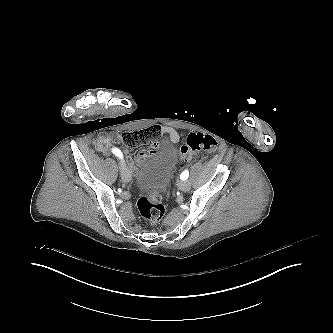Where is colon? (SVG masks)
I'll return each mask as SVG.
<instances>
[{
  "label": "colon",
  "instance_id": "1",
  "mask_svg": "<svg viewBox=\"0 0 333 333\" xmlns=\"http://www.w3.org/2000/svg\"><path fill=\"white\" fill-rule=\"evenodd\" d=\"M163 132L159 127H150L138 132H127L121 135V141L124 145L131 149L153 147L158 144L162 139ZM117 136L113 132L103 130L100 132L99 137L96 138V143L115 142ZM192 145L200 144L203 148L209 149L211 146L210 138H195ZM162 157L164 154L160 152L158 154ZM187 154H180V158L183 159ZM161 186H142L139 191V198L136 202L137 210L142 219V224L145 229L149 231H156L161 228L163 224V216L166 212V208L162 203Z\"/></svg>",
  "mask_w": 333,
  "mask_h": 333
}]
</instances>
